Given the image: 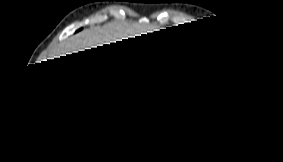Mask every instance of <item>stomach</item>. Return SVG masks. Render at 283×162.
<instances>
[{
	"label": "stomach",
	"mask_w": 283,
	"mask_h": 162,
	"mask_svg": "<svg viewBox=\"0 0 283 162\" xmlns=\"http://www.w3.org/2000/svg\"><path fill=\"white\" fill-rule=\"evenodd\" d=\"M169 41L175 44L169 45V48L183 49L180 47L188 45V43L181 41L180 43L178 38H171ZM202 59L203 57L196 50L176 52L169 57L163 82L170 85L169 97L177 105L193 107L205 99L208 88V72Z\"/></svg>",
	"instance_id": "stomach-1"
}]
</instances>
